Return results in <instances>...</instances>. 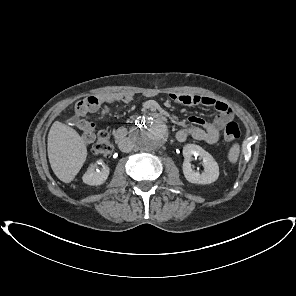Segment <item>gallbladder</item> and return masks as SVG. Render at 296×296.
Wrapping results in <instances>:
<instances>
[{"label": "gallbladder", "instance_id": "obj_1", "mask_svg": "<svg viewBox=\"0 0 296 296\" xmlns=\"http://www.w3.org/2000/svg\"><path fill=\"white\" fill-rule=\"evenodd\" d=\"M77 119L76 118H73V119H70L68 122L69 123H76Z\"/></svg>", "mask_w": 296, "mask_h": 296}]
</instances>
